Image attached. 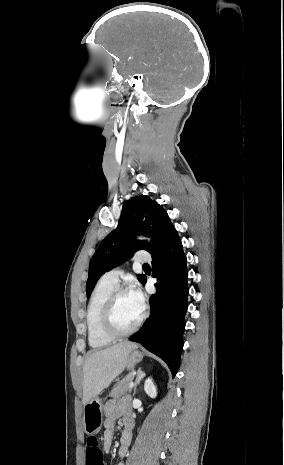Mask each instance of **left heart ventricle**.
I'll return each instance as SVG.
<instances>
[{"instance_id": "b2bd125f", "label": "left heart ventricle", "mask_w": 284, "mask_h": 465, "mask_svg": "<svg viewBox=\"0 0 284 465\" xmlns=\"http://www.w3.org/2000/svg\"><path fill=\"white\" fill-rule=\"evenodd\" d=\"M142 314L128 294L119 297L115 311L114 326L118 333L130 331L138 322Z\"/></svg>"}]
</instances>
